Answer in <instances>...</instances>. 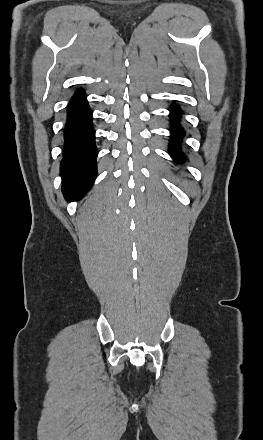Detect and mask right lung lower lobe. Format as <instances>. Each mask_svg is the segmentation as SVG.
Masks as SVG:
<instances>
[{
  "label": "right lung lower lobe",
  "mask_w": 263,
  "mask_h": 440,
  "mask_svg": "<svg viewBox=\"0 0 263 440\" xmlns=\"http://www.w3.org/2000/svg\"><path fill=\"white\" fill-rule=\"evenodd\" d=\"M64 137L62 192L73 201L87 193L97 174L92 111L83 90L76 92L68 105Z\"/></svg>",
  "instance_id": "1"
}]
</instances>
